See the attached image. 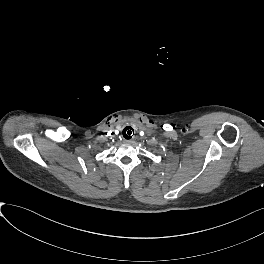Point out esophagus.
<instances>
[{
	"mask_svg": "<svg viewBox=\"0 0 264 264\" xmlns=\"http://www.w3.org/2000/svg\"><path fill=\"white\" fill-rule=\"evenodd\" d=\"M126 143H130V140H125Z\"/></svg>",
	"mask_w": 264,
	"mask_h": 264,
	"instance_id": "1",
	"label": "esophagus"
}]
</instances>
